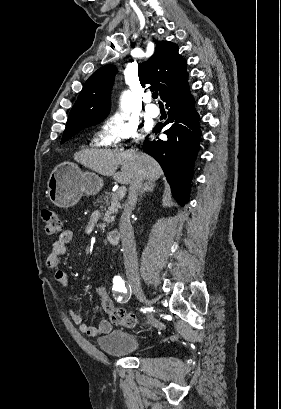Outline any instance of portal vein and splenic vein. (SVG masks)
Instances as JSON below:
<instances>
[{
	"label": "portal vein and splenic vein",
	"instance_id": "obj_1",
	"mask_svg": "<svg viewBox=\"0 0 281 409\" xmlns=\"http://www.w3.org/2000/svg\"><path fill=\"white\" fill-rule=\"evenodd\" d=\"M120 189H118L117 191H116V194L118 195V196H124L125 195V191L127 190V185L126 184H121L120 185V187H119ZM118 201L119 202H122L123 201V198L122 197H119L118 198Z\"/></svg>",
	"mask_w": 281,
	"mask_h": 409
}]
</instances>
